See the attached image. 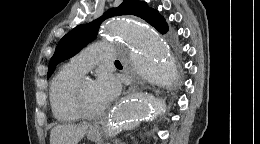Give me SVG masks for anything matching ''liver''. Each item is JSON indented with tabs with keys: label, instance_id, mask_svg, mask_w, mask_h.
I'll return each instance as SVG.
<instances>
[{
	"label": "liver",
	"instance_id": "1",
	"mask_svg": "<svg viewBox=\"0 0 260 144\" xmlns=\"http://www.w3.org/2000/svg\"><path fill=\"white\" fill-rule=\"evenodd\" d=\"M88 125L65 124L55 126L50 133V144H78Z\"/></svg>",
	"mask_w": 260,
	"mask_h": 144
}]
</instances>
